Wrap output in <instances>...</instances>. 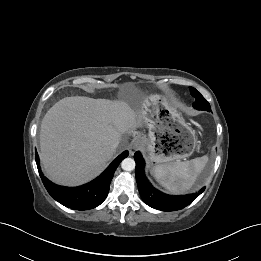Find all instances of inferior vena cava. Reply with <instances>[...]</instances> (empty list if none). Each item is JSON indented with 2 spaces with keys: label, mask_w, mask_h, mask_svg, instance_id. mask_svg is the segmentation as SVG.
Instances as JSON below:
<instances>
[{
  "label": "inferior vena cava",
  "mask_w": 261,
  "mask_h": 261,
  "mask_svg": "<svg viewBox=\"0 0 261 261\" xmlns=\"http://www.w3.org/2000/svg\"><path fill=\"white\" fill-rule=\"evenodd\" d=\"M118 144H119V141L114 142L113 147L116 148L118 146Z\"/></svg>",
  "instance_id": "602c4592"
}]
</instances>
